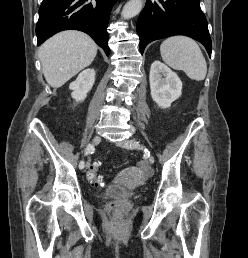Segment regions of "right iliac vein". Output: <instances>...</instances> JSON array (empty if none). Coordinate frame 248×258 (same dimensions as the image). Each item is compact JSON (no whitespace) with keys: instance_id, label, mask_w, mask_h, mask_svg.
I'll list each match as a JSON object with an SVG mask.
<instances>
[{"instance_id":"1","label":"right iliac vein","mask_w":248,"mask_h":258,"mask_svg":"<svg viewBox=\"0 0 248 258\" xmlns=\"http://www.w3.org/2000/svg\"><path fill=\"white\" fill-rule=\"evenodd\" d=\"M100 142H101V137H100V136H95V137L93 138V140H92V143H93L94 145H97V144H99ZM89 166H90V164H89V162H87V164H86V169H88Z\"/></svg>"}]
</instances>
